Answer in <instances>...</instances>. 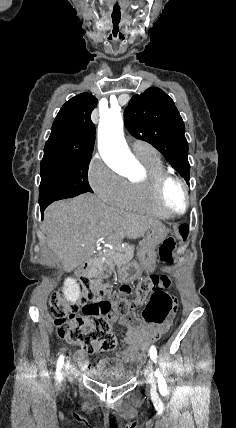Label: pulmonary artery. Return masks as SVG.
<instances>
[{
	"instance_id": "pulmonary-artery-1",
	"label": "pulmonary artery",
	"mask_w": 236,
	"mask_h": 428,
	"mask_svg": "<svg viewBox=\"0 0 236 428\" xmlns=\"http://www.w3.org/2000/svg\"><path fill=\"white\" fill-rule=\"evenodd\" d=\"M133 152L136 155H147L153 152V148L147 144L136 143L132 146Z\"/></svg>"
}]
</instances>
